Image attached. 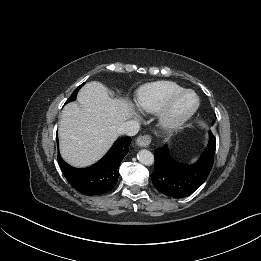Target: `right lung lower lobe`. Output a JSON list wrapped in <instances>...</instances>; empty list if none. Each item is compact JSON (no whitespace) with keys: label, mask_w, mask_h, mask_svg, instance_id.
<instances>
[{"label":"right lung lower lobe","mask_w":261,"mask_h":261,"mask_svg":"<svg viewBox=\"0 0 261 261\" xmlns=\"http://www.w3.org/2000/svg\"><path fill=\"white\" fill-rule=\"evenodd\" d=\"M130 137L118 139L109 152L95 165L78 169L63 161L58 152V162L68 182L85 195L104 194L116 185L122 159L128 153ZM58 143V139H57Z\"/></svg>","instance_id":"right-lung-lower-lobe-1"}]
</instances>
